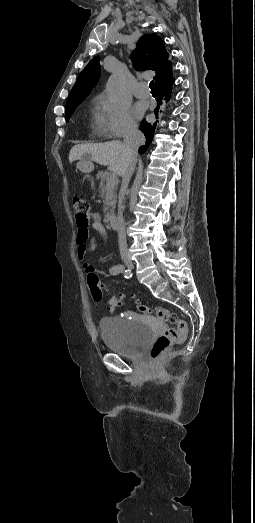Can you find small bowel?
Segmentation results:
<instances>
[{
	"label": "small bowel",
	"instance_id": "small-bowel-1",
	"mask_svg": "<svg viewBox=\"0 0 255 523\" xmlns=\"http://www.w3.org/2000/svg\"><path fill=\"white\" fill-rule=\"evenodd\" d=\"M90 229H94L97 231L101 237L102 242L97 243L95 241H91L88 245V239H89V231ZM107 242V231L104 225L101 221V216L96 213H90L88 214V223L86 225H79L78 224V231H77V247H76V255L79 260L83 261V267L84 269L90 273L100 274L106 277H114L119 274H121L124 271V266L121 264H113L107 272H104L102 270L94 269L90 263L86 261V255L88 250L97 251L106 245Z\"/></svg>",
	"mask_w": 255,
	"mask_h": 523
}]
</instances>
